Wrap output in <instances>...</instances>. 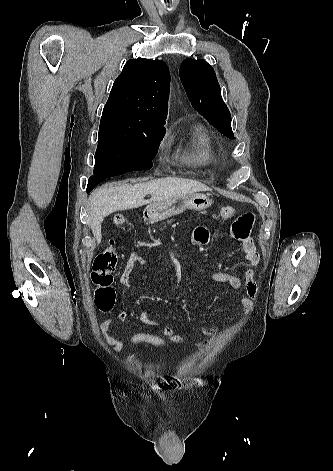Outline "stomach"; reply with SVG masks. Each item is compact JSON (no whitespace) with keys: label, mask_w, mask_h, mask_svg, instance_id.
I'll return each instance as SVG.
<instances>
[{"label":"stomach","mask_w":333,"mask_h":471,"mask_svg":"<svg viewBox=\"0 0 333 471\" xmlns=\"http://www.w3.org/2000/svg\"><path fill=\"white\" fill-rule=\"evenodd\" d=\"M212 200L204 194L182 195L163 202L152 203L145 209V219L150 222L165 220L183 213L188 209L205 210L212 205Z\"/></svg>","instance_id":"obj_1"}]
</instances>
